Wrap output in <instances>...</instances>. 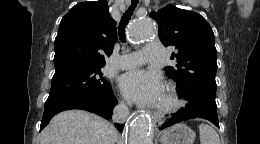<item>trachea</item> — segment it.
I'll return each mask as SVG.
<instances>
[{
    "label": "trachea",
    "mask_w": 260,
    "mask_h": 144,
    "mask_svg": "<svg viewBox=\"0 0 260 144\" xmlns=\"http://www.w3.org/2000/svg\"><path fill=\"white\" fill-rule=\"evenodd\" d=\"M139 0H132L131 5L126 11V13L123 14L121 21L118 26V35L121 41L125 42V26L130 20L131 15L133 14V11L135 10Z\"/></svg>",
    "instance_id": "obj_1"
}]
</instances>
